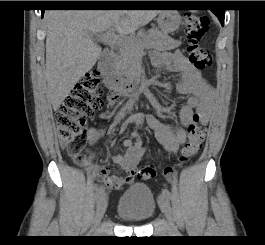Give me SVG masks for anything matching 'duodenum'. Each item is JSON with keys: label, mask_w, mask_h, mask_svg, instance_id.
<instances>
[{"label": "duodenum", "mask_w": 265, "mask_h": 245, "mask_svg": "<svg viewBox=\"0 0 265 245\" xmlns=\"http://www.w3.org/2000/svg\"><path fill=\"white\" fill-rule=\"evenodd\" d=\"M99 70L102 81L111 92L129 96L138 91L139 87L134 80L117 76L115 72V55L113 53H109L101 60Z\"/></svg>", "instance_id": "1"}]
</instances>
